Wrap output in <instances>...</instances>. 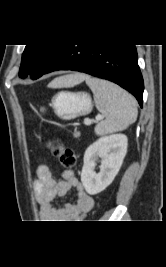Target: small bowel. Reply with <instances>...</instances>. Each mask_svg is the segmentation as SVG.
Listing matches in <instances>:
<instances>
[{
    "label": "small bowel",
    "instance_id": "1",
    "mask_svg": "<svg viewBox=\"0 0 166 267\" xmlns=\"http://www.w3.org/2000/svg\"><path fill=\"white\" fill-rule=\"evenodd\" d=\"M70 190L76 191V202L61 208L54 206L57 197L65 196ZM34 192L39 203V215L47 222L84 218L93 208V198L84 190L73 171L65 170L61 179L54 178V169L46 164L39 165Z\"/></svg>",
    "mask_w": 166,
    "mask_h": 267
}]
</instances>
